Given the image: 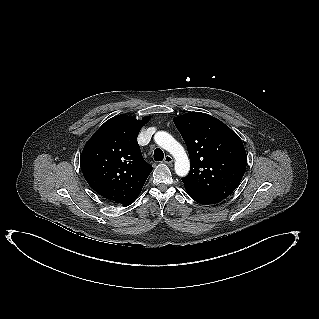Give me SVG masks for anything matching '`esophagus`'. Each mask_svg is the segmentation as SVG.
I'll use <instances>...</instances> for the list:
<instances>
[{
	"label": "esophagus",
	"mask_w": 319,
	"mask_h": 319,
	"mask_svg": "<svg viewBox=\"0 0 319 319\" xmlns=\"http://www.w3.org/2000/svg\"><path fill=\"white\" fill-rule=\"evenodd\" d=\"M173 162V158L170 155H166L164 158V163L171 164Z\"/></svg>",
	"instance_id": "obj_1"
}]
</instances>
